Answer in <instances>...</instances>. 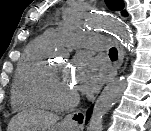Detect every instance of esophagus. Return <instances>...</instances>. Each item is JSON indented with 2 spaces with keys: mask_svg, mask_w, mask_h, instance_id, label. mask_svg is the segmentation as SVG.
<instances>
[{
  "mask_svg": "<svg viewBox=\"0 0 151 131\" xmlns=\"http://www.w3.org/2000/svg\"><path fill=\"white\" fill-rule=\"evenodd\" d=\"M114 42L116 44V47L118 49V61L116 63V73L117 70H119L122 66L123 60H124V50L122 45L117 39H114ZM115 73V75H116ZM66 121L70 122L71 124L75 125L76 127L83 129L84 123H85V115L81 111L73 112L66 117Z\"/></svg>",
  "mask_w": 151,
  "mask_h": 131,
  "instance_id": "esophagus-1",
  "label": "esophagus"
}]
</instances>
